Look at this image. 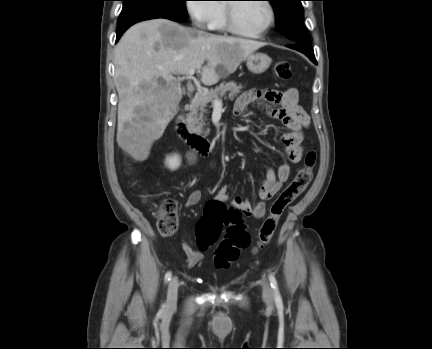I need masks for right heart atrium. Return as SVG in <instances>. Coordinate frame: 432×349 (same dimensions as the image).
Returning <instances> with one entry per match:
<instances>
[{"label": "right heart atrium", "instance_id": "d8ad5b80", "mask_svg": "<svg viewBox=\"0 0 432 349\" xmlns=\"http://www.w3.org/2000/svg\"><path fill=\"white\" fill-rule=\"evenodd\" d=\"M218 3L215 0H188L187 12L193 24L202 29L211 28L218 12Z\"/></svg>", "mask_w": 432, "mask_h": 349}]
</instances>
